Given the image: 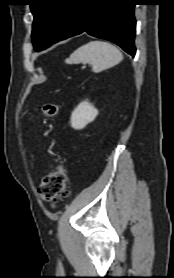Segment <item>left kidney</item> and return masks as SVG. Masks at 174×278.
<instances>
[{"label":"left kidney","instance_id":"1","mask_svg":"<svg viewBox=\"0 0 174 278\" xmlns=\"http://www.w3.org/2000/svg\"><path fill=\"white\" fill-rule=\"evenodd\" d=\"M98 110L88 101L81 102L71 115V126L74 129H83L87 124L94 121Z\"/></svg>","mask_w":174,"mask_h":278}]
</instances>
